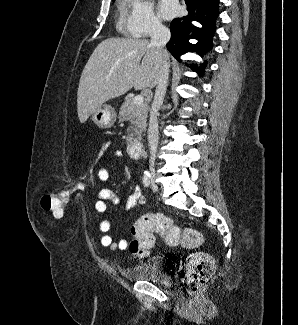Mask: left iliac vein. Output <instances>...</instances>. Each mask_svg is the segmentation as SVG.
Masks as SVG:
<instances>
[{"label": "left iliac vein", "mask_w": 298, "mask_h": 325, "mask_svg": "<svg viewBox=\"0 0 298 325\" xmlns=\"http://www.w3.org/2000/svg\"><path fill=\"white\" fill-rule=\"evenodd\" d=\"M151 184H152L153 191H157V185L155 184V178L154 177H152Z\"/></svg>", "instance_id": "left-iliac-vein-1"}]
</instances>
